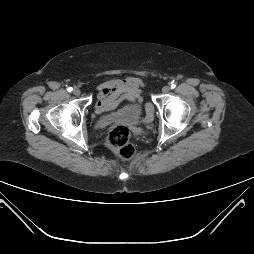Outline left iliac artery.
I'll list each match as a JSON object with an SVG mask.
<instances>
[{"instance_id":"1","label":"left iliac artery","mask_w":254,"mask_h":254,"mask_svg":"<svg viewBox=\"0 0 254 254\" xmlns=\"http://www.w3.org/2000/svg\"><path fill=\"white\" fill-rule=\"evenodd\" d=\"M176 87L175 84H171V88L174 89Z\"/></svg>"}]
</instances>
